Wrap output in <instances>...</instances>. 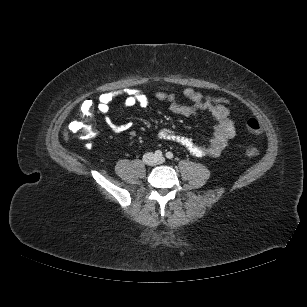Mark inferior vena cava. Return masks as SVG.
Listing matches in <instances>:
<instances>
[{"mask_svg":"<svg viewBox=\"0 0 307 307\" xmlns=\"http://www.w3.org/2000/svg\"><path fill=\"white\" fill-rule=\"evenodd\" d=\"M143 161L148 164V165H152L154 164V154L153 153H146L143 155Z\"/></svg>","mask_w":307,"mask_h":307,"instance_id":"inferior-vena-cava-1","label":"inferior vena cava"}]
</instances>
